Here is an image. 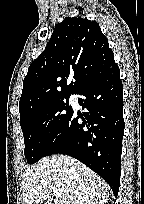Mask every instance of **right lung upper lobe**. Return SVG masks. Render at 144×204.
<instances>
[{
    "label": "right lung upper lobe",
    "instance_id": "right-lung-upper-lobe-1",
    "mask_svg": "<svg viewBox=\"0 0 144 204\" xmlns=\"http://www.w3.org/2000/svg\"><path fill=\"white\" fill-rule=\"evenodd\" d=\"M114 60L107 38L97 22L66 17L56 25L40 56L23 81L20 116L59 96L76 94ZM74 82L67 85V79Z\"/></svg>",
    "mask_w": 144,
    "mask_h": 204
}]
</instances>
